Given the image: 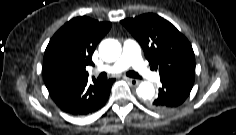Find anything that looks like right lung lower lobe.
<instances>
[{
    "instance_id": "right-lung-lower-lobe-1",
    "label": "right lung lower lobe",
    "mask_w": 236,
    "mask_h": 135,
    "mask_svg": "<svg viewBox=\"0 0 236 135\" xmlns=\"http://www.w3.org/2000/svg\"><path fill=\"white\" fill-rule=\"evenodd\" d=\"M88 76H79L65 70L44 72V82L54 102L64 112L73 116L91 114L101 109L110 94L115 79L99 82Z\"/></svg>"
}]
</instances>
